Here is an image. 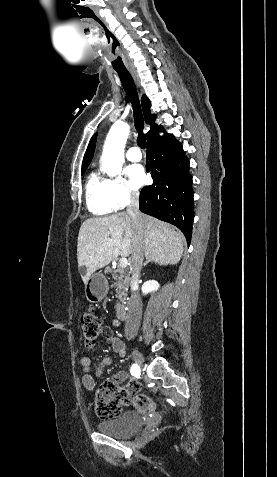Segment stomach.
<instances>
[{"label":"stomach","mask_w":277,"mask_h":477,"mask_svg":"<svg viewBox=\"0 0 277 477\" xmlns=\"http://www.w3.org/2000/svg\"><path fill=\"white\" fill-rule=\"evenodd\" d=\"M109 290L108 282L101 273L92 274L85 284V297L89 303H99L107 295Z\"/></svg>","instance_id":"1"}]
</instances>
